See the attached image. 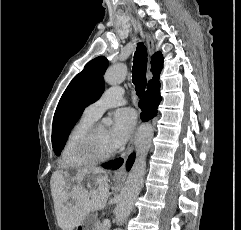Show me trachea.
<instances>
[{
	"label": "trachea",
	"mask_w": 241,
	"mask_h": 230,
	"mask_svg": "<svg viewBox=\"0 0 241 230\" xmlns=\"http://www.w3.org/2000/svg\"><path fill=\"white\" fill-rule=\"evenodd\" d=\"M147 68V50L146 47L139 43L134 55L132 81L138 96H142L147 85L146 79Z\"/></svg>",
	"instance_id": "3493384b"
}]
</instances>
